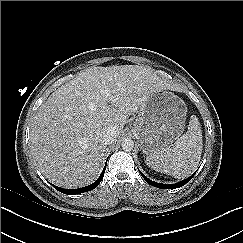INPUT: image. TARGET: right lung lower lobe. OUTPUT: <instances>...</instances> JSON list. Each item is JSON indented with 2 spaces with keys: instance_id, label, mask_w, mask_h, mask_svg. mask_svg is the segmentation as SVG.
I'll return each mask as SVG.
<instances>
[{
  "instance_id": "obj_1",
  "label": "right lung lower lobe",
  "mask_w": 243,
  "mask_h": 243,
  "mask_svg": "<svg viewBox=\"0 0 243 243\" xmlns=\"http://www.w3.org/2000/svg\"><path fill=\"white\" fill-rule=\"evenodd\" d=\"M106 166L103 169L101 175L99 176V178L92 183L91 185H88L86 187H82V188H78V189H63L57 186H54V188L64 194H69V195H76V194H80V193H84L90 190H93L94 188H96L98 186V184L101 182L103 176H104V172H105Z\"/></svg>"
}]
</instances>
